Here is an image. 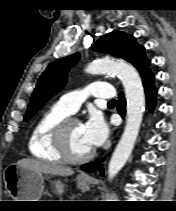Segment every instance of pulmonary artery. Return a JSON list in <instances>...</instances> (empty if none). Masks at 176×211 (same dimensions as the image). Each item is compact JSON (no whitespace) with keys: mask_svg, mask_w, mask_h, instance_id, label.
Wrapping results in <instances>:
<instances>
[{"mask_svg":"<svg viewBox=\"0 0 176 211\" xmlns=\"http://www.w3.org/2000/svg\"><path fill=\"white\" fill-rule=\"evenodd\" d=\"M92 96L100 99H113L115 92L113 86L106 82L96 81L83 90L69 92L58 100L57 104L66 110L69 114L75 113L80 105Z\"/></svg>","mask_w":176,"mask_h":211,"instance_id":"1","label":"pulmonary artery"}]
</instances>
